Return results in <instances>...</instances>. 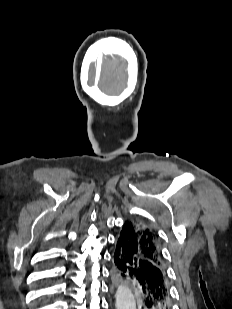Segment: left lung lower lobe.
Segmentation results:
<instances>
[{
    "mask_svg": "<svg viewBox=\"0 0 232 309\" xmlns=\"http://www.w3.org/2000/svg\"><path fill=\"white\" fill-rule=\"evenodd\" d=\"M113 275L130 282L140 309H171L166 271L141 254L132 229L124 223L113 249Z\"/></svg>",
    "mask_w": 232,
    "mask_h": 309,
    "instance_id": "obj_1",
    "label": "left lung lower lobe"
}]
</instances>
